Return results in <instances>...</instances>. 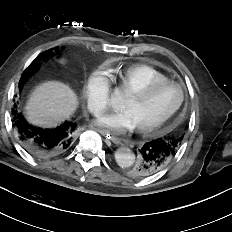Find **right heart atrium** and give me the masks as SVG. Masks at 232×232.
<instances>
[{
    "mask_svg": "<svg viewBox=\"0 0 232 232\" xmlns=\"http://www.w3.org/2000/svg\"><path fill=\"white\" fill-rule=\"evenodd\" d=\"M84 98L89 111L98 114L110 105V81L103 70L93 72L84 88Z\"/></svg>",
    "mask_w": 232,
    "mask_h": 232,
    "instance_id": "right-heart-atrium-1",
    "label": "right heart atrium"
}]
</instances>
